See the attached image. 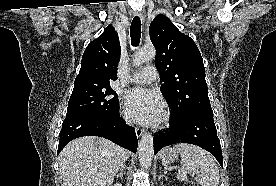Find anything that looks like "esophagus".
Segmentation results:
<instances>
[{"label":"esophagus","instance_id":"obj_1","mask_svg":"<svg viewBox=\"0 0 276 186\" xmlns=\"http://www.w3.org/2000/svg\"><path fill=\"white\" fill-rule=\"evenodd\" d=\"M137 15L140 17L141 21H144V20H145V15H146V14H145V10H144V9L139 10V11L137 12ZM135 132H136L137 137L140 138V137L143 135L144 130H142V129L136 127V128H135Z\"/></svg>","mask_w":276,"mask_h":186}]
</instances>
